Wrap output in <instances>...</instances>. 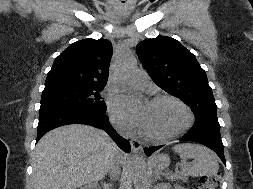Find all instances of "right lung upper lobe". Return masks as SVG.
Wrapping results in <instances>:
<instances>
[{
	"instance_id": "1",
	"label": "right lung upper lobe",
	"mask_w": 253,
	"mask_h": 189,
	"mask_svg": "<svg viewBox=\"0 0 253 189\" xmlns=\"http://www.w3.org/2000/svg\"><path fill=\"white\" fill-rule=\"evenodd\" d=\"M112 55L106 39H84L71 44L54 61L45 88L60 86L104 87Z\"/></svg>"
}]
</instances>
